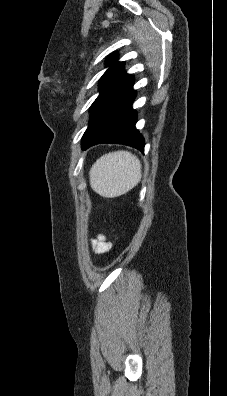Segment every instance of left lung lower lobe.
I'll list each match as a JSON object with an SVG mask.
<instances>
[{"label": "left lung lower lobe", "mask_w": 227, "mask_h": 396, "mask_svg": "<svg viewBox=\"0 0 227 396\" xmlns=\"http://www.w3.org/2000/svg\"><path fill=\"white\" fill-rule=\"evenodd\" d=\"M134 77L106 95L93 109L87 130L82 137V149L99 143L124 144L144 151V139L135 128L136 113Z\"/></svg>", "instance_id": "0a47b994"}]
</instances>
